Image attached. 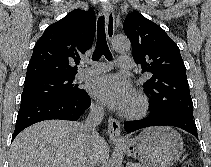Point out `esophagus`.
<instances>
[{
	"label": "esophagus",
	"mask_w": 211,
	"mask_h": 167,
	"mask_svg": "<svg viewBox=\"0 0 211 167\" xmlns=\"http://www.w3.org/2000/svg\"><path fill=\"white\" fill-rule=\"evenodd\" d=\"M106 14V34L109 41H112L115 33V14L111 3L104 4ZM108 135L112 141H122L120 123L110 117L108 119Z\"/></svg>",
	"instance_id": "esophagus-1"
}]
</instances>
